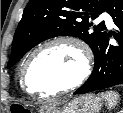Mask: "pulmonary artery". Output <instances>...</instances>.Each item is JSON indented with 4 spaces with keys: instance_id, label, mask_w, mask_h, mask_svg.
I'll return each instance as SVG.
<instances>
[{
    "instance_id": "e3ab8cb5",
    "label": "pulmonary artery",
    "mask_w": 123,
    "mask_h": 113,
    "mask_svg": "<svg viewBox=\"0 0 123 113\" xmlns=\"http://www.w3.org/2000/svg\"><path fill=\"white\" fill-rule=\"evenodd\" d=\"M101 18H102V19H105L107 25L113 26V20H112L111 16H110L108 13L102 14V15H101Z\"/></svg>"
}]
</instances>
